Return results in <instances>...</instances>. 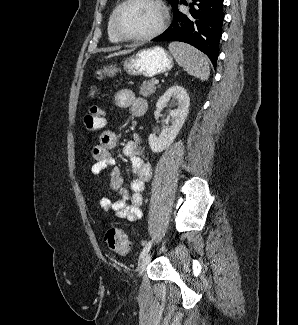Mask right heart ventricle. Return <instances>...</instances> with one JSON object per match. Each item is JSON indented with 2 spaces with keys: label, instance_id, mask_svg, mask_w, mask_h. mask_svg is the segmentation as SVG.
Listing matches in <instances>:
<instances>
[{
  "label": "right heart ventricle",
  "instance_id": "e07e8e85",
  "mask_svg": "<svg viewBox=\"0 0 298 325\" xmlns=\"http://www.w3.org/2000/svg\"><path fill=\"white\" fill-rule=\"evenodd\" d=\"M117 7L118 6L113 8V10L111 11V13L109 15L108 21H107V36H108L109 41L114 45L122 44V42L116 37V35L114 34L113 29H112V19H113V16H114V13H115Z\"/></svg>",
  "mask_w": 298,
  "mask_h": 325
}]
</instances>
